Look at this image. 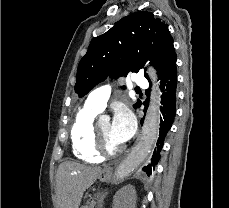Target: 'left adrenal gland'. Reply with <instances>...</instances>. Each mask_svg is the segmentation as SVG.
Masks as SVG:
<instances>
[{
    "label": "left adrenal gland",
    "instance_id": "left-adrenal-gland-1",
    "mask_svg": "<svg viewBox=\"0 0 229 208\" xmlns=\"http://www.w3.org/2000/svg\"><path fill=\"white\" fill-rule=\"evenodd\" d=\"M105 196H107V192H106V194H103V198H105Z\"/></svg>",
    "mask_w": 229,
    "mask_h": 208
}]
</instances>
